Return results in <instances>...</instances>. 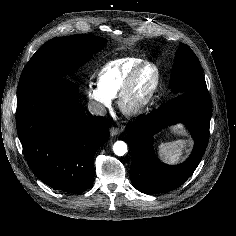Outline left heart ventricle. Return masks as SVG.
I'll use <instances>...</instances> for the list:
<instances>
[{
  "instance_id": "obj_1",
  "label": "left heart ventricle",
  "mask_w": 236,
  "mask_h": 236,
  "mask_svg": "<svg viewBox=\"0 0 236 236\" xmlns=\"http://www.w3.org/2000/svg\"><path fill=\"white\" fill-rule=\"evenodd\" d=\"M156 71L153 67H146L138 76L133 91L128 99V106L140 103L153 87Z\"/></svg>"
}]
</instances>
